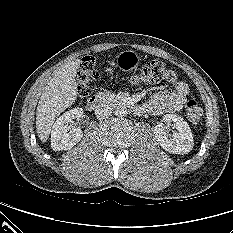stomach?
I'll list each match as a JSON object with an SVG mask.
<instances>
[{"label": "stomach", "instance_id": "obj_1", "mask_svg": "<svg viewBox=\"0 0 233 233\" xmlns=\"http://www.w3.org/2000/svg\"><path fill=\"white\" fill-rule=\"evenodd\" d=\"M139 62V55L132 50L123 51L116 57V65L122 70H132Z\"/></svg>", "mask_w": 233, "mask_h": 233}]
</instances>
